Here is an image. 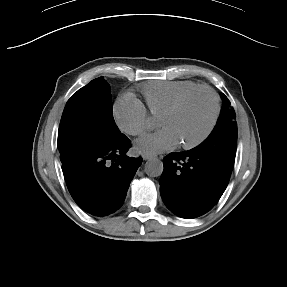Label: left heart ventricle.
Here are the masks:
<instances>
[{
    "instance_id": "left-heart-ventricle-1",
    "label": "left heart ventricle",
    "mask_w": 287,
    "mask_h": 287,
    "mask_svg": "<svg viewBox=\"0 0 287 287\" xmlns=\"http://www.w3.org/2000/svg\"><path fill=\"white\" fill-rule=\"evenodd\" d=\"M213 111V102L206 92L189 98L174 115L161 118L160 125L170 129L179 143L198 138L207 128Z\"/></svg>"
}]
</instances>
